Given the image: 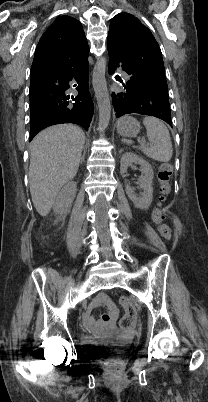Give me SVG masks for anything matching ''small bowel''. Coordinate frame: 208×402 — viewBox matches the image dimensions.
Segmentation results:
<instances>
[{
  "mask_svg": "<svg viewBox=\"0 0 208 402\" xmlns=\"http://www.w3.org/2000/svg\"><path fill=\"white\" fill-rule=\"evenodd\" d=\"M96 298L97 299L94 301L95 306L103 304L108 308V310L105 312V314L101 315V317H100L101 321L98 322L97 327L100 330H110L112 327V324H114L116 321V318H115L117 315L116 308L111 303L107 292L97 293ZM107 300H109L108 303L103 302V301H107ZM84 315L87 320L83 324L84 329L85 330H93L95 328V323L97 322V317L95 315H93V312L90 309L85 310Z\"/></svg>",
  "mask_w": 208,
  "mask_h": 402,
  "instance_id": "obj_1",
  "label": "small bowel"
}]
</instances>
